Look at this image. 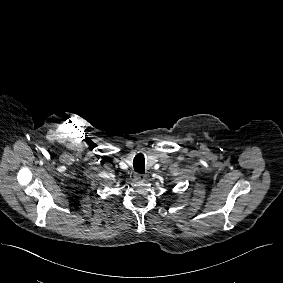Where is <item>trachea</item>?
Wrapping results in <instances>:
<instances>
[{
  "label": "trachea",
  "instance_id": "obj_1",
  "mask_svg": "<svg viewBox=\"0 0 283 283\" xmlns=\"http://www.w3.org/2000/svg\"><path fill=\"white\" fill-rule=\"evenodd\" d=\"M133 167L136 172L144 173L145 172V159L143 154H137L133 160Z\"/></svg>",
  "mask_w": 283,
  "mask_h": 283
}]
</instances>
